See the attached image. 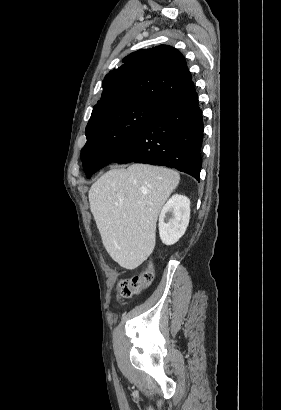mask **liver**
<instances>
[{"label":"liver","mask_w":281,"mask_h":410,"mask_svg":"<svg viewBox=\"0 0 281 410\" xmlns=\"http://www.w3.org/2000/svg\"><path fill=\"white\" fill-rule=\"evenodd\" d=\"M179 181L174 170L132 164L91 186L90 210L106 251L121 267L135 269L152 254L158 215Z\"/></svg>","instance_id":"1"}]
</instances>
